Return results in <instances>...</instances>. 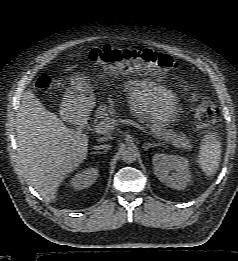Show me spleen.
Here are the masks:
<instances>
[{
	"label": "spleen",
	"instance_id": "obj_1",
	"mask_svg": "<svg viewBox=\"0 0 238 261\" xmlns=\"http://www.w3.org/2000/svg\"><path fill=\"white\" fill-rule=\"evenodd\" d=\"M221 142L214 136H208L200 145L198 164L206 176H213L221 160Z\"/></svg>",
	"mask_w": 238,
	"mask_h": 261
}]
</instances>
